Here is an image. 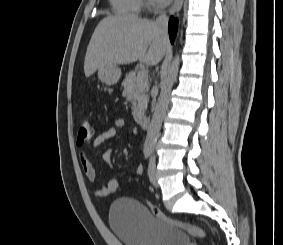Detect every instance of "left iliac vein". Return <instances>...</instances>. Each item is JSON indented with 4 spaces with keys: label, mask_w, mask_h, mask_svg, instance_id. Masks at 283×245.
Wrapping results in <instances>:
<instances>
[{
    "label": "left iliac vein",
    "mask_w": 283,
    "mask_h": 245,
    "mask_svg": "<svg viewBox=\"0 0 283 245\" xmlns=\"http://www.w3.org/2000/svg\"><path fill=\"white\" fill-rule=\"evenodd\" d=\"M148 176L150 182L155 186L158 187V179H157V170H156V161L155 158L152 157L150 159L149 167H148Z\"/></svg>",
    "instance_id": "1"
}]
</instances>
